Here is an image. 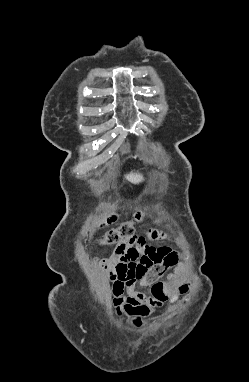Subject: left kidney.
I'll return each mask as SVG.
<instances>
[{
	"mask_svg": "<svg viewBox=\"0 0 249 382\" xmlns=\"http://www.w3.org/2000/svg\"><path fill=\"white\" fill-rule=\"evenodd\" d=\"M184 297V292L180 291L179 286H174L172 293L167 298L169 301H181Z\"/></svg>",
	"mask_w": 249,
	"mask_h": 382,
	"instance_id": "5707ae66",
	"label": "left kidney"
}]
</instances>
